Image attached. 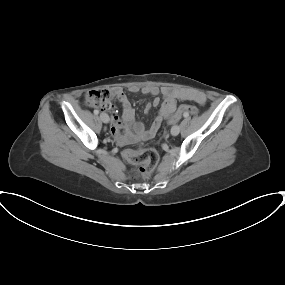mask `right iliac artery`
<instances>
[{"instance_id": "82829eb1", "label": "right iliac artery", "mask_w": 285, "mask_h": 285, "mask_svg": "<svg viewBox=\"0 0 285 285\" xmlns=\"http://www.w3.org/2000/svg\"><path fill=\"white\" fill-rule=\"evenodd\" d=\"M94 114H95V115H98V114H99V111H98V110H94Z\"/></svg>"}]
</instances>
